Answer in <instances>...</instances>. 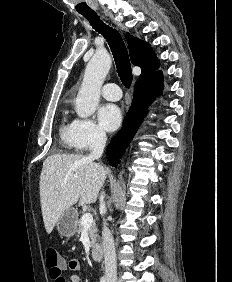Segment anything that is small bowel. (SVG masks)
I'll use <instances>...</instances> for the list:
<instances>
[{
    "label": "small bowel",
    "instance_id": "c3829d8e",
    "mask_svg": "<svg viewBox=\"0 0 232 282\" xmlns=\"http://www.w3.org/2000/svg\"><path fill=\"white\" fill-rule=\"evenodd\" d=\"M62 269H69V270H72V271H80L82 269V266H81V263L76 260V259H71L69 261H64L63 262V267ZM51 279L54 281V282H66L65 278L60 275V276H52L50 275ZM69 281L70 282H82V278L79 274H72L70 277H69Z\"/></svg>",
    "mask_w": 232,
    "mask_h": 282
}]
</instances>
